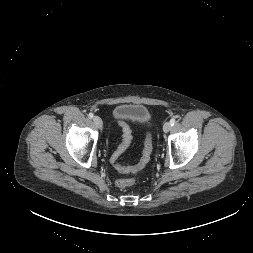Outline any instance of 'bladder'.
<instances>
[{"label": "bladder", "mask_w": 253, "mask_h": 253, "mask_svg": "<svg viewBox=\"0 0 253 253\" xmlns=\"http://www.w3.org/2000/svg\"><path fill=\"white\" fill-rule=\"evenodd\" d=\"M113 119L117 123H133L144 126L150 123L151 114L142 104L125 103L118 105L113 110Z\"/></svg>", "instance_id": "1"}]
</instances>
